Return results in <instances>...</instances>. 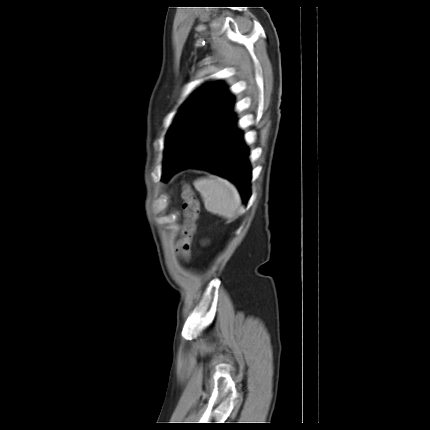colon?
<instances>
[{"mask_svg": "<svg viewBox=\"0 0 430 430\" xmlns=\"http://www.w3.org/2000/svg\"><path fill=\"white\" fill-rule=\"evenodd\" d=\"M182 199L185 223L177 249L181 258L185 262H189L191 259L192 239L195 233V222L199 215V202L194 191L188 185L183 188Z\"/></svg>", "mask_w": 430, "mask_h": 430, "instance_id": "5ec220e1", "label": "colon"}]
</instances>
